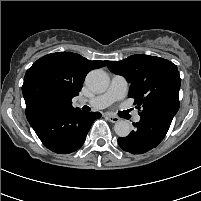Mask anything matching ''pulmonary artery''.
Returning a JSON list of instances; mask_svg holds the SVG:
<instances>
[{"label":"pulmonary artery","mask_w":201,"mask_h":201,"mask_svg":"<svg viewBox=\"0 0 201 201\" xmlns=\"http://www.w3.org/2000/svg\"><path fill=\"white\" fill-rule=\"evenodd\" d=\"M128 83L123 76L114 75L111 79L108 89L101 95L90 99L87 103L93 108L103 109L110 106L112 103L121 100L126 96ZM134 121L139 122L140 116H134Z\"/></svg>","instance_id":"1"}]
</instances>
